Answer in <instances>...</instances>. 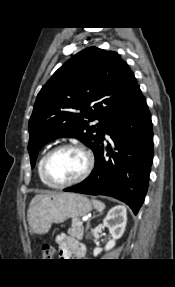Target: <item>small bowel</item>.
Wrapping results in <instances>:
<instances>
[{
  "mask_svg": "<svg viewBox=\"0 0 175 287\" xmlns=\"http://www.w3.org/2000/svg\"><path fill=\"white\" fill-rule=\"evenodd\" d=\"M56 242L59 246L60 258L69 259L75 257L76 259H84L86 257V246L79 243L75 238L59 234L56 237Z\"/></svg>",
  "mask_w": 175,
  "mask_h": 287,
  "instance_id": "small-bowel-1",
  "label": "small bowel"
}]
</instances>
